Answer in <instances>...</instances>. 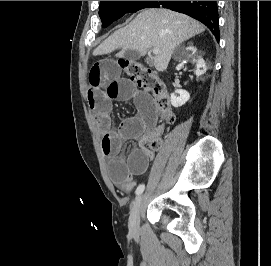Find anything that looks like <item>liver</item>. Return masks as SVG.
<instances>
[{
    "instance_id": "1",
    "label": "liver",
    "mask_w": 271,
    "mask_h": 266,
    "mask_svg": "<svg viewBox=\"0 0 271 266\" xmlns=\"http://www.w3.org/2000/svg\"><path fill=\"white\" fill-rule=\"evenodd\" d=\"M204 30L202 24L189 16L168 9L149 8L142 10L127 26L115 31L94 50L93 55L109 54L122 48L117 57H124L126 50L145 56L154 47L159 49V53L155 54L153 64L163 72L174 49Z\"/></svg>"
}]
</instances>
